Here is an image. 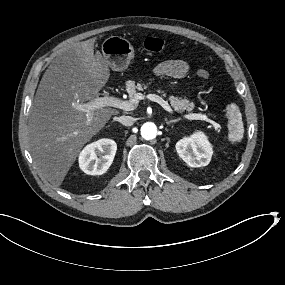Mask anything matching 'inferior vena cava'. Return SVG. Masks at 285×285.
<instances>
[{
	"label": "inferior vena cava",
	"mask_w": 285,
	"mask_h": 285,
	"mask_svg": "<svg viewBox=\"0 0 285 285\" xmlns=\"http://www.w3.org/2000/svg\"><path fill=\"white\" fill-rule=\"evenodd\" d=\"M118 119L119 122L125 126H131L135 122V119L131 116H121Z\"/></svg>",
	"instance_id": "obj_1"
}]
</instances>
